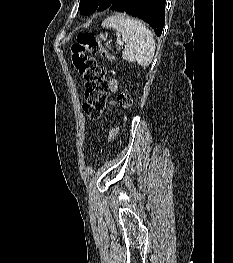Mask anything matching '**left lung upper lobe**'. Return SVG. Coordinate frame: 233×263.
Listing matches in <instances>:
<instances>
[{"mask_svg": "<svg viewBox=\"0 0 233 263\" xmlns=\"http://www.w3.org/2000/svg\"><path fill=\"white\" fill-rule=\"evenodd\" d=\"M115 0H81L80 1V13L90 14L95 11H103L111 6Z\"/></svg>", "mask_w": 233, "mask_h": 263, "instance_id": "5c2ea615", "label": "left lung upper lobe"}]
</instances>
